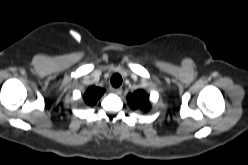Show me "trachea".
Wrapping results in <instances>:
<instances>
[{
	"mask_svg": "<svg viewBox=\"0 0 248 165\" xmlns=\"http://www.w3.org/2000/svg\"><path fill=\"white\" fill-rule=\"evenodd\" d=\"M110 81L113 87H119L122 84V77L116 73L111 77Z\"/></svg>",
	"mask_w": 248,
	"mask_h": 165,
	"instance_id": "1",
	"label": "trachea"
}]
</instances>
